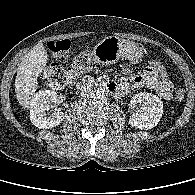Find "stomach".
Listing matches in <instances>:
<instances>
[{"label": "stomach", "instance_id": "1", "mask_svg": "<svg viewBox=\"0 0 195 195\" xmlns=\"http://www.w3.org/2000/svg\"><path fill=\"white\" fill-rule=\"evenodd\" d=\"M121 57L132 63H139L142 58V50L134 42L114 36L104 38L93 49V58L101 65L114 64Z\"/></svg>", "mask_w": 195, "mask_h": 195}]
</instances>
